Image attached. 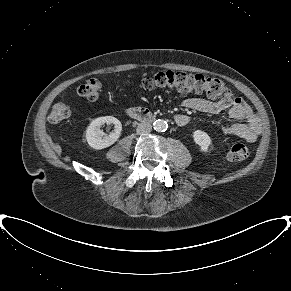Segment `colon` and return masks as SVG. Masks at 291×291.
Masks as SVG:
<instances>
[{"label": "colon", "instance_id": "5ec220e1", "mask_svg": "<svg viewBox=\"0 0 291 291\" xmlns=\"http://www.w3.org/2000/svg\"><path fill=\"white\" fill-rule=\"evenodd\" d=\"M141 86L146 91L206 93L211 99H224L232 96L230 89L218 78L178 71L159 72L154 76L143 79ZM101 87V82L98 79L91 78L78 87L77 93L79 96L94 102L100 98ZM70 114V106L59 103L54 106L50 114V120L57 123L68 118ZM248 156L249 149L244 143L233 144L227 153L228 159L232 162L243 161Z\"/></svg>", "mask_w": 291, "mask_h": 291}]
</instances>
